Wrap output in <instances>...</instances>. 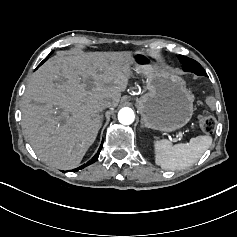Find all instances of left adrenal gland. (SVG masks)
Segmentation results:
<instances>
[{
  "label": "left adrenal gland",
  "mask_w": 237,
  "mask_h": 237,
  "mask_svg": "<svg viewBox=\"0 0 237 237\" xmlns=\"http://www.w3.org/2000/svg\"><path fill=\"white\" fill-rule=\"evenodd\" d=\"M141 127H144V122L143 121H141Z\"/></svg>",
  "instance_id": "left-adrenal-gland-1"
}]
</instances>
